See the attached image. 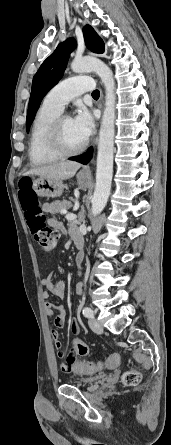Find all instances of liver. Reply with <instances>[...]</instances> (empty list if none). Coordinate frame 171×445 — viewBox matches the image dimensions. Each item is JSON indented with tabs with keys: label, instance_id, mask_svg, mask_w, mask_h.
Instances as JSON below:
<instances>
[{
	"label": "liver",
	"instance_id": "1",
	"mask_svg": "<svg viewBox=\"0 0 171 445\" xmlns=\"http://www.w3.org/2000/svg\"><path fill=\"white\" fill-rule=\"evenodd\" d=\"M80 168V164L77 162H60L56 164H50L38 168H33L24 173L25 176L36 175L51 180H66L73 177L77 170Z\"/></svg>",
	"mask_w": 171,
	"mask_h": 445
}]
</instances>
